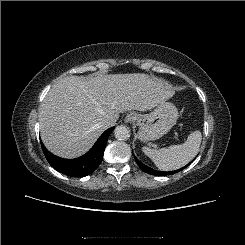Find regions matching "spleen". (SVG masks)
Segmentation results:
<instances>
[{
    "label": "spleen",
    "instance_id": "1",
    "mask_svg": "<svg viewBox=\"0 0 245 245\" xmlns=\"http://www.w3.org/2000/svg\"><path fill=\"white\" fill-rule=\"evenodd\" d=\"M202 135L199 130L192 132L187 140L180 145L167 148L151 149L143 147L142 151L161 170H176L189 163L199 152Z\"/></svg>",
    "mask_w": 245,
    "mask_h": 245
}]
</instances>
